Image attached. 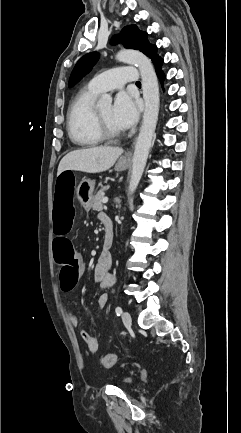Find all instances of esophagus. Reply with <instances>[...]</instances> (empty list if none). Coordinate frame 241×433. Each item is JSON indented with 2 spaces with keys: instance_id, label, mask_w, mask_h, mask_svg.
<instances>
[{
  "instance_id": "1",
  "label": "esophagus",
  "mask_w": 241,
  "mask_h": 433,
  "mask_svg": "<svg viewBox=\"0 0 241 433\" xmlns=\"http://www.w3.org/2000/svg\"><path fill=\"white\" fill-rule=\"evenodd\" d=\"M130 157H131V152H128V153L125 155L124 159H129Z\"/></svg>"
}]
</instances>
